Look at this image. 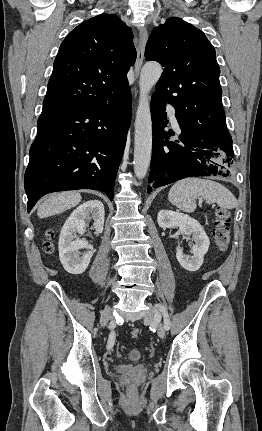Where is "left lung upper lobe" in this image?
Here are the masks:
<instances>
[{
  "label": "left lung upper lobe",
  "mask_w": 262,
  "mask_h": 431,
  "mask_svg": "<svg viewBox=\"0 0 262 431\" xmlns=\"http://www.w3.org/2000/svg\"><path fill=\"white\" fill-rule=\"evenodd\" d=\"M145 57L164 67L154 94L173 105L181 127L206 138L228 133L215 49L202 31L171 17L152 31Z\"/></svg>",
  "instance_id": "left-lung-upper-lobe-1"
}]
</instances>
